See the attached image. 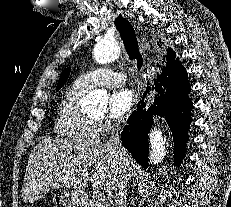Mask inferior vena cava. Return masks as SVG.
<instances>
[{
  "mask_svg": "<svg viewBox=\"0 0 231 207\" xmlns=\"http://www.w3.org/2000/svg\"><path fill=\"white\" fill-rule=\"evenodd\" d=\"M121 126L115 123L111 126L110 137L107 140V145L113 150L114 154L119 159L118 167V184L114 192L116 207H126L127 205V188L125 180V165L127 162V154L123 147L120 146L119 130Z\"/></svg>",
  "mask_w": 231,
  "mask_h": 207,
  "instance_id": "obj_1",
  "label": "inferior vena cava"
}]
</instances>
